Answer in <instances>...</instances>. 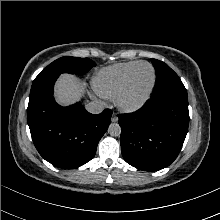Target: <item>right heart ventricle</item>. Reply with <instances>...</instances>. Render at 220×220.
Listing matches in <instances>:
<instances>
[{
  "label": "right heart ventricle",
  "mask_w": 220,
  "mask_h": 220,
  "mask_svg": "<svg viewBox=\"0 0 220 220\" xmlns=\"http://www.w3.org/2000/svg\"><path fill=\"white\" fill-rule=\"evenodd\" d=\"M138 62L117 63L102 68L94 75L92 86L104 98H115L122 87L126 76Z\"/></svg>",
  "instance_id": "obj_1"
}]
</instances>
